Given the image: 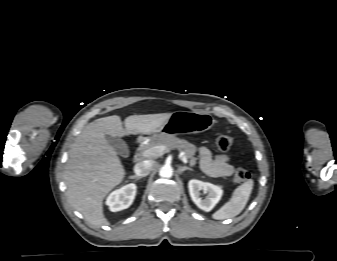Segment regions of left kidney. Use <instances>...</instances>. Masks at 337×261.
I'll return each instance as SVG.
<instances>
[{"label": "left kidney", "instance_id": "left-kidney-1", "mask_svg": "<svg viewBox=\"0 0 337 261\" xmlns=\"http://www.w3.org/2000/svg\"><path fill=\"white\" fill-rule=\"evenodd\" d=\"M189 193L193 202L202 210L209 212L219 202L222 197V189L209 182L192 179L188 182ZM207 194V198L200 197V191Z\"/></svg>", "mask_w": 337, "mask_h": 261}]
</instances>
